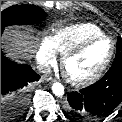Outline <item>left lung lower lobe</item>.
<instances>
[{"mask_svg": "<svg viewBox=\"0 0 122 122\" xmlns=\"http://www.w3.org/2000/svg\"><path fill=\"white\" fill-rule=\"evenodd\" d=\"M121 101L122 63H116L98 82L68 93L66 109L72 115L94 119L110 113Z\"/></svg>", "mask_w": 122, "mask_h": 122, "instance_id": "1", "label": "left lung lower lobe"}]
</instances>
